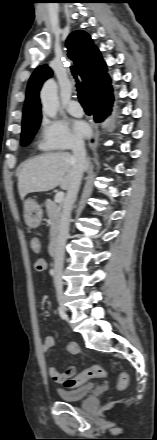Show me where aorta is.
I'll return each instance as SVG.
<instances>
[{
	"label": "aorta",
	"mask_w": 157,
	"mask_h": 440,
	"mask_svg": "<svg viewBox=\"0 0 157 440\" xmlns=\"http://www.w3.org/2000/svg\"><path fill=\"white\" fill-rule=\"evenodd\" d=\"M43 113L55 118L59 108L57 84L53 79L47 80L40 92Z\"/></svg>",
	"instance_id": "aorta-1"
}]
</instances>
